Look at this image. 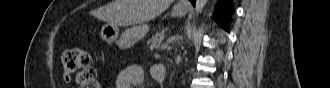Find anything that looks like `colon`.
Wrapping results in <instances>:
<instances>
[{
    "mask_svg": "<svg viewBox=\"0 0 330 88\" xmlns=\"http://www.w3.org/2000/svg\"><path fill=\"white\" fill-rule=\"evenodd\" d=\"M62 71L66 80L76 75L82 88H99L97 71L88 51L80 47L67 49L62 54Z\"/></svg>",
    "mask_w": 330,
    "mask_h": 88,
    "instance_id": "1",
    "label": "colon"
}]
</instances>
